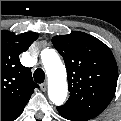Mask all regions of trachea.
Instances as JSON below:
<instances>
[{
    "label": "trachea",
    "mask_w": 121,
    "mask_h": 121,
    "mask_svg": "<svg viewBox=\"0 0 121 121\" xmlns=\"http://www.w3.org/2000/svg\"><path fill=\"white\" fill-rule=\"evenodd\" d=\"M45 79V73L41 68H38L34 72V81L36 83H43Z\"/></svg>",
    "instance_id": "3493384b"
}]
</instances>
